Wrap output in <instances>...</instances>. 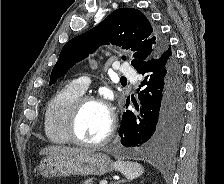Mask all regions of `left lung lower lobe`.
I'll use <instances>...</instances> for the list:
<instances>
[{"label":"left lung lower lobe","mask_w":224,"mask_h":184,"mask_svg":"<svg viewBox=\"0 0 224 184\" xmlns=\"http://www.w3.org/2000/svg\"><path fill=\"white\" fill-rule=\"evenodd\" d=\"M145 75L137 113L126 110L119 129L124 147H143L154 154L172 151L182 133L184 84L170 47L137 70ZM139 91V89H138Z\"/></svg>","instance_id":"left-lung-lower-lobe-1"}]
</instances>
